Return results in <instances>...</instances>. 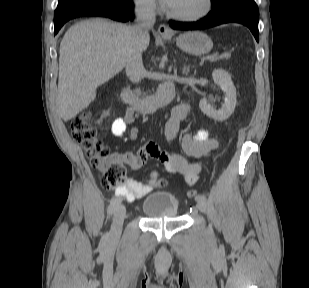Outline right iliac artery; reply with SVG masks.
I'll use <instances>...</instances> for the list:
<instances>
[{"label": "right iliac artery", "instance_id": "obj_1", "mask_svg": "<svg viewBox=\"0 0 309 288\" xmlns=\"http://www.w3.org/2000/svg\"><path fill=\"white\" fill-rule=\"evenodd\" d=\"M121 199L119 197H115L111 200L110 205L108 207V212L113 213L117 206L120 204Z\"/></svg>", "mask_w": 309, "mask_h": 288}]
</instances>
